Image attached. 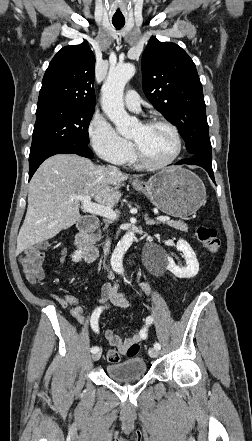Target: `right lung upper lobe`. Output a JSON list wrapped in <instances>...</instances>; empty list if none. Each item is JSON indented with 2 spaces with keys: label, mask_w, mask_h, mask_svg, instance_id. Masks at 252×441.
Returning <instances> with one entry per match:
<instances>
[{
  "label": "right lung upper lobe",
  "mask_w": 252,
  "mask_h": 441,
  "mask_svg": "<svg viewBox=\"0 0 252 441\" xmlns=\"http://www.w3.org/2000/svg\"><path fill=\"white\" fill-rule=\"evenodd\" d=\"M94 67L95 57L86 43L63 47L45 72L37 108L49 105L95 108Z\"/></svg>",
  "instance_id": "cb5924a9"
}]
</instances>
